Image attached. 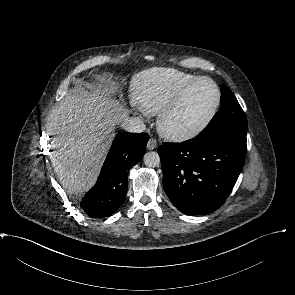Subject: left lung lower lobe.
Here are the masks:
<instances>
[{
  "label": "left lung lower lobe",
  "instance_id": "0a47b994",
  "mask_svg": "<svg viewBox=\"0 0 295 295\" xmlns=\"http://www.w3.org/2000/svg\"><path fill=\"white\" fill-rule=\"evenodd\" d=\"M246 151V141L226 134L163 143L158 148L163 189L182 213L209 214L231 193L243 168Z\"/></svg>",
  "mask_w": 295,
  "mask_h": 295
}]
</instances>
